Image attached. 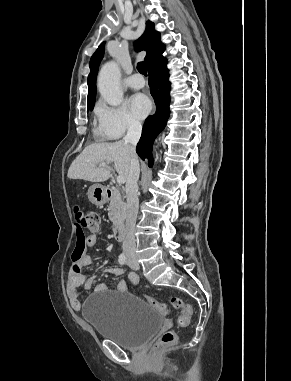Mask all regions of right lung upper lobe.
Segmentation results:
<instances>
[{
	"mask_svg": "<svg viewBox=\"0 0 291 381\" xmlns=\"http://www.w3.org/2000/svg\"><path fill=\"white\" fill-rule=\"evenodd\" d=\"M104 44L102 43L96 52L93 54L90 60V74L88 76V97L87 105L95 102L96 96V76L98 72L99 64L104 55ZM136 50L147 51L145 56V62L147 68L163 59L162 53L165 50V45L160 42V33L155 31L154 24L151 21L146 22V30L144 34L135 42Z\"/></svg>",
	"mask_w": 291,
	"mask_h": 381,
	"instance_id": "right-lung-upper-lobe-1",
	"label": "right lung upper lobe"
}]
</instances>
